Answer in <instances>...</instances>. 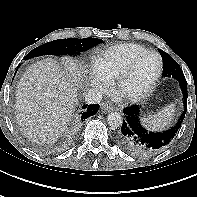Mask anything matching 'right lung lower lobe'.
<instances>
[{
	"label": "right lung lower lobe",
	"mask_w": 197,
	"mask_h": 197,
	"mask_svg": "<svg viewBox=\"0 0 197 197\" xmlns=\"http://www.w3.org/2000/svg\"><path fill=\"white\" fill-rule=\"evenodd\" d=\"M84 112L82 113L81 119L85 120L86 118L95 115L99 109V105L98 104H94V105H84L83 106Z\"/></svg>",
	"instance_id": "1"
}]
</instances>
